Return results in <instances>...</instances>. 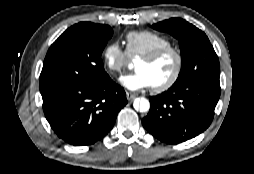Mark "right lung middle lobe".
I'll return each instance as SVG.
<instances>
[{
  "label": "right lung middle lobe",
  "mask_w": 254,
  "mask_h": 174,
  "mask_svg": "<svg viewBox=\"0 0 254 174\" xmlns=\"http://www.w3.org/2000/svg\"><path fill=\"white\" fill-rule=\"evenodd\" d=\"M113 35L108 25L81 22L68 28L50 47L40 74V92L62 86L94 84L108 77L101 54Z\"/></svg>",
  "instance_id": "dd1d6c3e"
}]
</instances>
